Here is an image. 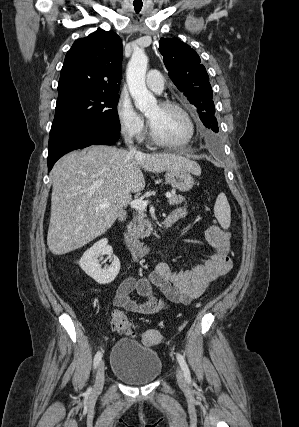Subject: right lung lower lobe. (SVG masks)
Returning <instances> with one entry per match:
<instances>
[{"mask_svg": "<svg viewBox=\"0 0 299 427\" xmlns=\"http://www.w3.org/2000/svg\"><path fill=\"white\" fill-rule=\"evenodd\" d=\"M120 137V132L87 126H74L50 135L48 143V171L64 154L92 144L112 145Z\"/></svg>", "mask_w": 299, "mask_h": 427, "instance_id": "1", "label": "right lung lower lobe"}]
</instances>
